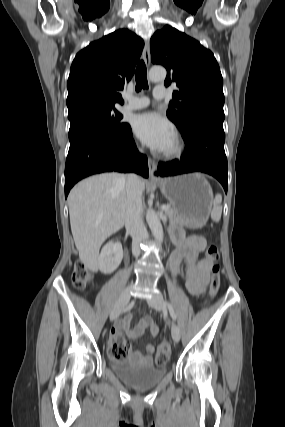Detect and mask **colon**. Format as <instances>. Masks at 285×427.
<instances>
[{
  "label": "colon",
  "mask_w": 285,
  "mask_h": 427,
  "mask_svg": "<svg viewBox=\"0 0 285 427\" xmlns=\"http://www.w3.org/2000/svg\"><path fill=\"white\" fill-rule=\"evenodd\" d=\"M207 257L212 262L209 293L210 297L214 298L217 295L221 284L220 265L218 263L219 249L216 245L209 246L207 250ZM72 280L74 286L78 289L85 288L86 285L91 281V274L83 263H76L72 274ZM170 352V344L168 342L161 343L155 356V364L157 366L165 365L169 358ZM109 353L111 357L118 363H123L126 362L129 357L130 346L128 342L124 341L123 339H115L113 340V345L109 348Z\"/></svg>",
  "instance_id": "1"
}]
</instances>
